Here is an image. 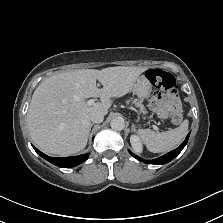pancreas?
<instances>
[{
  "instance_id": "obj_1",
  "label": "pancreas",
  "mask_w": 223,
  "mask_h": 223,
  "mask_svg": "<svg viewBox=\"0 0 223 223\" xmlns=\"http://www.w3.org/2000/svg\"><path fill=\"white\" fill-rule=\"evenodd\" d=\"M136 101H139V99H132L131 97H128L125 100L126 106H130V107H134V103ZM143 103V102H142ZM143 116H145L147 114V110L145 109V107L143 106V108L141 110H139Z\"/></svg>"
}]
</instances>
